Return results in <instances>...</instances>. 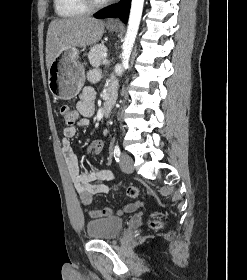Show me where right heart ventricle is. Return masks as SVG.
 Wrapping results in <instances>:
<instances>
[{"instance_id": "obj_1", "label": "right heart ventricle", "mask_w": 247, "mask_h": 280, "mask_svg": "<svg viewBox=\"0 0 247 280\" xmlns=\"http://www.w3.org/2000/svg\"><path fill=\"white\" fill-rule=\"evenodd\" d=\"M56 13L63 18H73L85 15L89 8L83 0H54Z\"/></svg>"}]
</instances>
